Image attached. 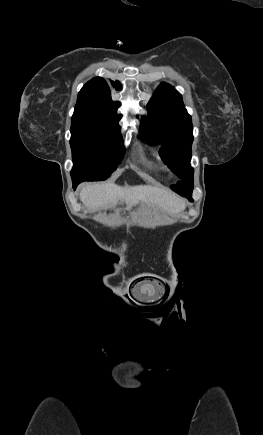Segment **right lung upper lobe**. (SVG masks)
I'll use <instances>...</instances> for the list:
<instances>
[{
  "mask_svg": "<svg viewBox=\"0 0 263 435\" xmlns=\"http://www.w3.org/2000/svg\"><path fill=\"white\" fill-rule=\"evenodd\" d=\"M112 85L116 90L121 88L118 81L112 82ZM118 106L119 103L111 99V91L107 82L101 77H96L87 82L78 93L72 119L119 129L118 122L122 115H116Z\"/></svg>",
  "mask_w": 263,
  "mask_h": 435,
  "instance_id": "obj_1",
  "label": "right lung upper lobe"
}]
</instances>
